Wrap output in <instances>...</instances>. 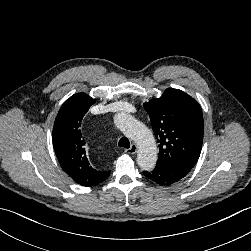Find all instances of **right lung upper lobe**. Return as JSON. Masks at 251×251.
I'll return each mask as SVG.
<instances>
[{
	"mask_svg": "<svg viewBox=\"0 0 251 251\" xmlns=\"http://www.w3.org/2000/svg\"><path fill=\"white\" fill-rule=\"evenodd\" d=\"M96 102L85 93H78L61 106L53 127V145L63 170L82 186L104 181L110 171H98L88 161L81 122L89 107Z\"/></svg>",
	"mask_w": 251,
	"mask_h": 251,
	"instance_id": "right-lung-upper-lobe-1",
	"label": "right lung upper lobe"
}]
</instances>
